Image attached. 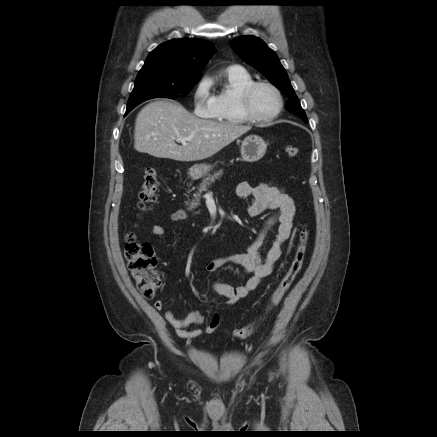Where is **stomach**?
I'll return each instance as SVG.
<instances>
[{"mask_svg":"<svg viewBox=\"0 0 437 437\" xmlns=\"http://www.w3.org/2000/svg\"><path fill=\"white\" fill-rule=\"evenodd\" d=\"M267 144L265 141L256 135L246 137L241 143V156L244 161L256 162L260 160L266 153ZM209 164H196L191 167V175L195 178H200L207 175L212 170Z\"/></svg>","mask_w":437,"mask_h":437,"instance_id":"obj_1","label":"stomach"}]
</instances>
